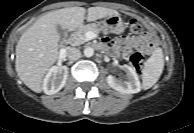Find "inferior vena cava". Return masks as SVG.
<instances>
[{
	"mask_svg": "<svg viewBox=\"0 0 194 133\" xmlns=\"http://www.w3.org/2000/svg\"><path fill=\"white\" fill-rule=\"evenodd\" d=\"M67 57L70 60H77L81 57V52L79 49L74 47H68L66 51Z\"/></svg>",
	"mask_w": 194,
	"mask_h": 133,
	"instance_id": "602c4592",
	"label": "inferior vena cava"
}]
</instances>
